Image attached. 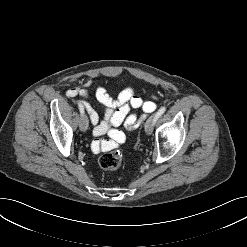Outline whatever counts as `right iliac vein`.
Returning <instances> with one entry per match:
<instances>
[{"label": "right iliac vein", "instance_id": "right-iliac-vein-1", "mask_svg": "<svg viewBox=\"0 0 247 247\" xmlns=\"http://www.w3.org/2000/svg\"><path fill=\"white\" fill-rule=\"evenodd\" d=\"M80 129L81 131L85 132L88 128V117L87 115L83 114L81 119H80Z\"/></svg>", "mask_w": 247, "mask_h": 247}]
</instances>
